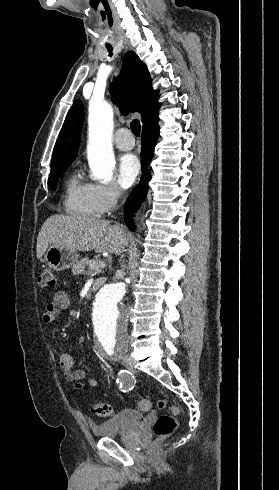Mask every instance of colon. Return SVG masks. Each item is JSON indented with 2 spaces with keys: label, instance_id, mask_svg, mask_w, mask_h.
<instances>
[{
  "label": "colon",
  "instance_id": "1",
  "mask_svg": "<svg viewBox=\"0 0 279 490\" xmlns=\"http://www.w3.org/2000/svg\"><path fill=\"white\" fill-rule=\"evenodd\" d=\"M40 284L45 287L55 285V274L50 268H45L40 275ZM158 406L161 410L168 409V413H161L153 425V431L158 436L159 442H168L169 436L176 430V417L179 415L177 408L170 406L168 399L159 401ZM151 407L149 398H142L137 402V409L148 411ZM92 413L101 417H108L113 414V407L110 403L96 402L92 406Z\"/></svg>",
  "mask_w": 279,
  "mask_h": 490
}]
</instances>
